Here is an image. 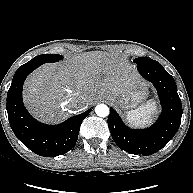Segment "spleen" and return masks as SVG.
Segmentation results:
<instances>
[{"instance_id": "3e777b00", "label": "spleen", "mask_w": 193, "mask_h": 193, "mask_svg": "<svg viewBox=\"0 0 193 193\" xmlns=\"http://www.w3.org/2000/svg\"><path fill=\"white\" fill-rule=\"evenodd\" d=\"M156 111V102L148 101L137 109L128 111L127 118L134 126H143L151 122L152 116Z\"/></svg>"}]
</instances>
